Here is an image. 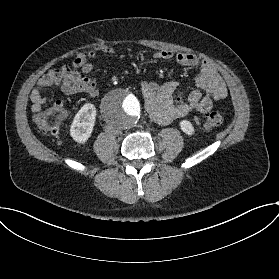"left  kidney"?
I'll return each mask as SVG.
<instances>
[{
  "mask_svg": "<svg viewBox=\"0 0 279 279\" xmlns=\"http://www.w3.org/2000/svg\"><path fill=\"white\" fill-rule=\"evenodd\" d=\"M181 130L186 133L187 135H193L194 134V127L192 123L188 120H182L180 123Z\"/></svg>",
  "mask_w": 279,
  "mask_h": 279,
  "instance_id": "5707ae66",
  "label": "left kidney"
}]
</instances>
